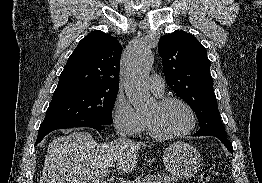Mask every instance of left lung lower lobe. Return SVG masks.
<instances>
[{"label": "left lung lower lobe", "instance_id": "0a47b994", "mask_svg": "<svg viewBox=\"0 0 262 183\" xmlns=\"http://www.w3.org/2000/svg\"><path fill=\"white\" fill-rule=\"evenodd\" d=\"M215 137H217L218 139H220L223 144L226 146V148L231 152L233 153V148H232V145L230 143V141L226 138V136H218V135H213Z\"/></svg>", "mask_w": 262, "mask_h": 183}]
</instances>
